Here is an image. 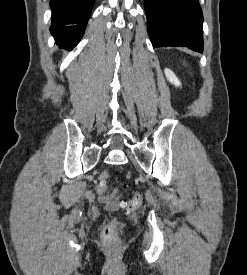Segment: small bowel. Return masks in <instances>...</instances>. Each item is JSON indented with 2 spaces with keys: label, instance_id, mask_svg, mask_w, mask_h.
I'll return each instance as SVG.
<instances>
[{
  "label": "small bowel",
  "instance_id": "1",
  "mask_svg": "<svg viewBox=\"0 0 247 275\" xmlns=\"http://www.w3.org/2000/svg\"><path fill=\"white\" fill-rule=\"evenodd\" d=\"M100 194V193H99ZM102 200L104 201V202H106L108 205H110V206H115L116 205V203L114 202V201H112L109 197H107V196H103L102 197Z\"/></svg>",
  "mask_w": 247,
  "mask_h": 275
}]
</instances>
